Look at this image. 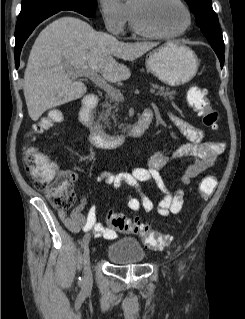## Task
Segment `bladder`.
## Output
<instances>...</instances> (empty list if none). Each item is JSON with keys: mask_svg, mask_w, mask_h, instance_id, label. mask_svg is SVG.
Segmentation results:
<instances>
[{"mask_svg": "<svg viewBox=\"0 0 245 319\" xmlns=\"http://www.w3.org/2000/svg\"><path fill=\"white\" fill-rule=\"evenodd\" d=\"M106 258L116 264H139L145 260L146 254L137 239L116 238L107 247Z\"/></svg>", "mask_w": 245, "mask_h": 319, "instance_id": "1", "label": "bladder"}]
</instances>
